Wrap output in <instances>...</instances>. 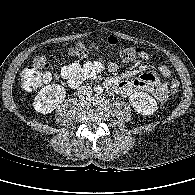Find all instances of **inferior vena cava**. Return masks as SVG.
<instances>
[{"label":"inferior vena cava","mask_w":195,"mask_h":195,"mask_svg":"<svg viewBox=\"0 0 195 195\" xmlns=\"http://www.w3.org/2000/svg\"><path fill=\"white\" fill-rule=\"evenodd\" d=\"M93 92V89L90 86H83L80 88V93L83 96H89Z\"/></svg>","instance_id":"obj_1"}]
</instances>
